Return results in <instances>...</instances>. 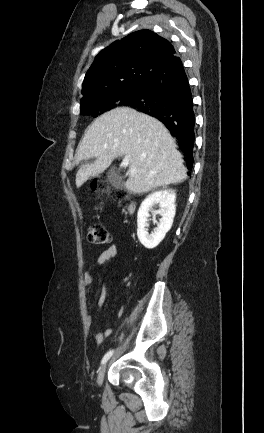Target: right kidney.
Wrapping results in <instances>:
<instances>
[{"label":"right kidney","instance_id":"obj_1","mask_svg":"<svg viewBox=\"0 0 264 433\" xmlns=\"http://www.w3.org/2000/svg\"><path fill=\"white\" fill-rule=\"evenodd\" d=\"M175 200L176 193L174 190L163 189L150 194L141 203L137 214V236L144 247L155 248L171 229L176 212ZM156 204L159 205L160 209L155 213L160 214L162 218L154 232L149 233L147 229L149 211Z\"/></svg>","mask_w":264,"mask_h":433}]
</instances>
